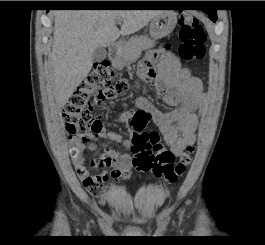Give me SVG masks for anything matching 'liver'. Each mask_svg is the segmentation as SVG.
Listing matches in <instances>:
<instances>
[{"mask_svg": "<svg viewBox=\"0 0 265 245\" xmlns=\"http://www.w3.org/2000/svg\"><path fill=\"white\" fill-rule=\"evenodd\" d=\"M161 10H59L54 13L50 64L54 94L64 106L92 68L97 47H108L120 36L138 32ZM123 21L121 30L116 21Z\"/></svg>", "mask_w": 265, "mask_h": 245, "instance_id": "obj_1", "label": "liver"}]
</instances>
